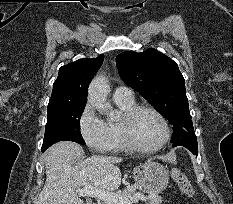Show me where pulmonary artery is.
Returning <instances> with one entry per match:
<instances>
[{
  "label": "pulmonary artery",
  "instance_id": "e3ab8cb5",
  "mask_svg": "<svg viewBox=\"0 0 233 204\" xmlns=\"http://www.w3.org/2000/svg\"><path fill=\"white\" fill-rule=\"evenodd\" d=\"M113 98L117 100H129L133 99V93L128 87L119 86L114 90Z\"/></svg>",
  "mask_w": 233,
  "mask_h": 204
}]
</instances>
